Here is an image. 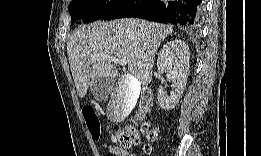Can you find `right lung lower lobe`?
I'll use <instances>...</instances> for the list:
<instances>
[{
  "label": "right lung lower lobe",
  "mask_w": 261,
  "mask_h": 156,
  "mask_svg": "<svg viewBox=\"0 0 261 156\" xmlns=\"http://www.w3.org/2000/svg\"><path fill=\"white\" fill-rule=\"evenodd\" d=\"M202 12V0H119L101 19L138 17L195 28Z\"/></svg>",
  "instance_id": "1"
}]
</instances>
